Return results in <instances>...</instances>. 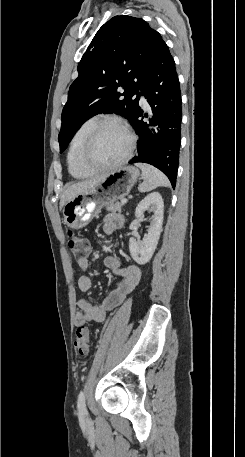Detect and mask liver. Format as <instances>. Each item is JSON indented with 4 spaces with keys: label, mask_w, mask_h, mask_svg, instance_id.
Returning <instances> with one entry per match:
<instances>
[{
    "label": "liver",
    "mask_w": 245,
    "mask_h": 457,
    "mask_svg": "<svg viewBox=\"0 0 245 457\" xmlns=\"http://www.w3.org/2000/svg\"><path fill=\"white\" fill-rule=\"evenodd\" d=\"M105 176L106 174H101V176H95V178H91V180H83V182H76V184H71V186H68L67 190H65L61 196L60 208L66 204L67 200L74 198L76 194L84 192V190H87V188H90V186H94L96 182H101Z\"/></svg>",
    "instance_id": "1"
}]
</instances>
